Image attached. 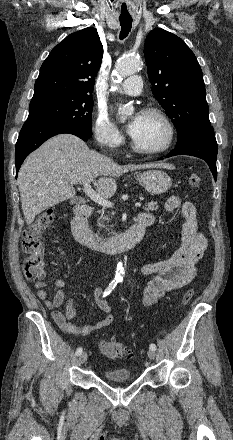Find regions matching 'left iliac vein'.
Segmentation results:
<instances>
[{
    "label": "left iliac vein",
    "instance_id": "left-iliac-vein-1",
    "mask_svg": "<svg viewBox=\"0 0 233 440\" xmlns=\"http://www.w3.org/2000/svg\"><path fill=\"white\" fill-rule=\"evenodd\" d=\"M147 355L150 359H154L156 357V352L155 350L150 349L148 350Z\"/></svg>",
    "mask_w": 233,
    "mask_h": 440
}]
</instances>
